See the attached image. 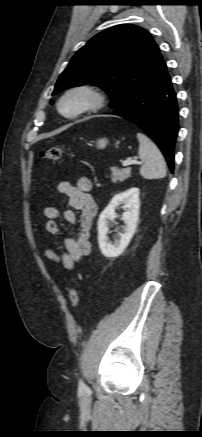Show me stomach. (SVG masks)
Masks as SVG:
<instances>
[{
    "label": "stomach",
    "instance_id": "obj_1",
    "mask_svg": "<svg viewBox=\"0 0 202 437\" xmlns=\"http://www.w3.org/2000/svg\"><path fill=\"white\" fill-rule=\"evenodd\" d=\"M108 144V140L106 138L98 139L96 142V146L98 149H104Z\"/></svg>",
    "mask_w": 202,
    "mask_h": 437
}]
</instances>
